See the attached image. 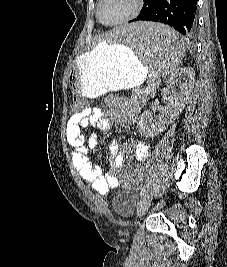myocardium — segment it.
I'll use <instances>...</instances> for the list:
<instances>
[{"label": "myocardium", "instance_id": "f54148a6", "mask_svg": "<svg viewBox=\"0 0 227 267\" xmlns=\"http://www.w3.org/2000/svg\"><path fill=\"white\" fill-rule=\"evenodd\" d=\"M102 2H103V0H98V3H97V18H98V20L106 26H115V25L126 23V22L134 19L135 17H137L144 7L145 0H135L134 9L128 15H126L122 19H119V20L111 22V23H106L101 18Z\"/></svg>", "mask_w": 227, "mask_h": 267}]
</instances>
